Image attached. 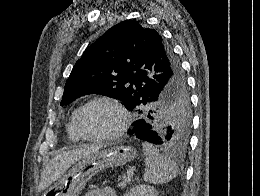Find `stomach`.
<instances>
[{
    "label": "stomach",
    "mask_w": 260,
    "mask_h": 196,
    "mask_svg": "<svg viewBox=\"0 0 260 196\" xmlns=\"http://www.w3.org/2000/svg\"><path fill=\"white\" fill-rule=\"evenodd\" d=\"M135 158H137L136 150L131 146H114V148L99 150L96 154L83 158L74 168H71L68 180H58V185H68L67 187H49V191H46L44 196H79L81 190L95 174L107 168L123 166Z\"/></svg>",
    "instance_id": "stomach-1"
}]
</instances>
